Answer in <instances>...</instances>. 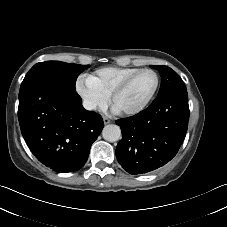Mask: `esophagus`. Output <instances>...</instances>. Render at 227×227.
<instances>
[{"mask_svg":"<svg viewBox=\"0 0 227 227\" xmlns=\"http://www.w3.org/2000/svg\"><path fill=\"white\" fill-rule=\"evenodd\" d=\"M103 121L105 124H111L113 122V120L111 118H107V117H104Z\"/></svg>","mask_w":227,"mask_h":227,"instance_id":"34e87169","label":"esophagus"}]
</instances>
